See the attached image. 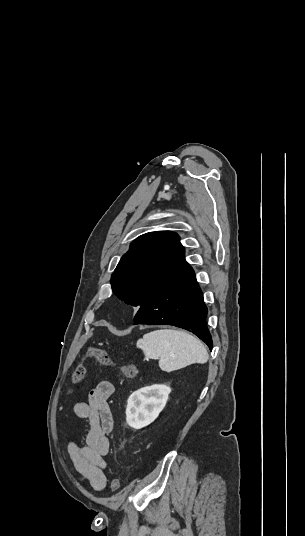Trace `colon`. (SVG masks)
<instances>
[{
    "instance_id": "5ec220e1",
    "label": "colon",
    "mask_w": 305,
    "mask_h": 536,
    "mask_svg": "<svg viewBox=\"0 0 305 536\" xmlns=\"http://www.w3.org/2000/svg\"><path fill=\"white\" fill-rule=\"evenodd\" d=\"M89 356L92 358H95L99 363L105 367H112L115 366L118 368L120 373L127 377V378H135L139 374L138 368L132 364V363H118L111 359V357L100 347L93 346L91 347L89 351ZM86 374V368L83 365V363H79V365L74 369L72 373L71 382L73 385H77L81 383ZM120 486V482L117 478H113L111 481V489L112 491H116Z\"/></svg>"
}]
</instances>
